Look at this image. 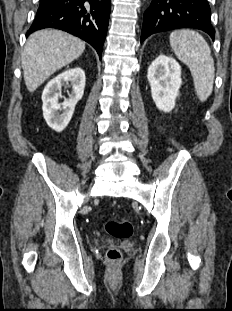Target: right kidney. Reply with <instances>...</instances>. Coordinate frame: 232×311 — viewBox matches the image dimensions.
Returning <instances> with one entry per match:
<instances>
[{"mask_svg": "<svg viewBox=\"0 0 232 311\" xmlns=\"http://www.w3.org/2000/svg\"><path fill=\"white\" fill-rule=\"evenodd\" d=\"M85 80L84 71L76 67L60 73L44 88L42 93L43 116L48 126L56 132L63 131L70 122L75 106L83 96ZM69 83L71 86L69 98L60 104L62 86Z\"/></svg>", "mask_w": 232, "mask_h": 311, "instance_id": "right-kidney-1", "label": "right kidney"}]
</instances>
